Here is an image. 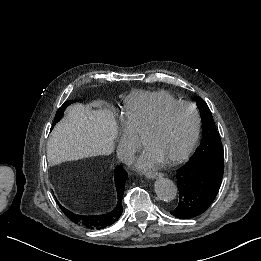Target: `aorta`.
Instances as JSON below:
<instances>
[{
	"label": "aorta",
	"mask_w": 261,
	"mask_h": 261,
	"mask_svg": "<svg viewBox=\"0 0 261 261\" xmlns=\"http://www.w3.org/2000/svg\"><path fill=\"white\" fill-rule=\"evenodd\" d=\"M154 189L160 200L169 202L176 198L177 187L170 179L159 178L154 184Z\"/></svg>",
	"instance_id": "aorta-1"
}]
</instances>
